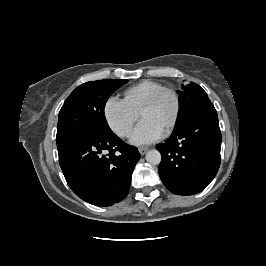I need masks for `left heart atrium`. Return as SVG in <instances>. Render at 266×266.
Segmentation results:
<instances>
[{"label": "left heart atrium", "instance_id": "39dd6f15", "mask_svg": "<svg viewBox=\"0 0 266 266\" xmlns=\"http://www.w3.org/2000/svg\"><path fill=\"white\" fill-rule=\"evenodd\" d=\"M163 128L151 119H142L131 135L132 143L145 145L159 140L163 135Z\"/></svg>", "mask_w": 266, "mask_h": 266}]
</instances>
